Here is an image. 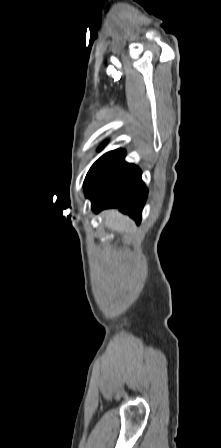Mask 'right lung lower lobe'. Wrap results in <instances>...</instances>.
Listing matches in <instances>:
<instances>
[{
	"label": "right lung lower lobe",
	"instance_id": "obj_1",
	"mask_svg": "<svg viewBox=\"0 0 221 448\" xmlns=\"http://www.w3.org/2000/svg\"><path fill=\"white\" fill-rule=\"evenodd\" d=\"M124 157L122 149L110 152L84 185L85 194L94 212L118 208L140 223L148 190L140 169Z\"/></svg>",
	"mask_w": 221,
	"mask_h": 448
}]
</instances>
